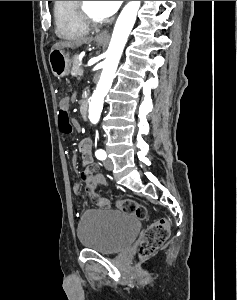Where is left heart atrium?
<instances>
[{
  "instance_id": "left-heart-atrium-1",
  "label": "left heart atrium",
  "mask_w": 237,
  "mask_h": 300,
  "mask_svg": "<svg viewBox=\"0 0 237 300\" xmlns=\"http://www.w3.org/2000/svg\"><path fill=\"white\" fill-rule=\"evenodd\" d=\"M101 7L107 16L113 15L122 4V1H100Z\"/></svg>"
}]
</instances>
